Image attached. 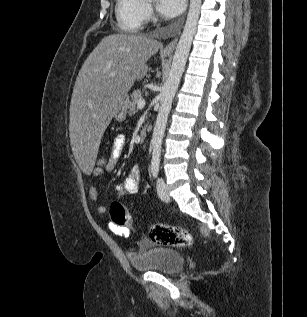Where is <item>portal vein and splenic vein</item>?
I'll return each mask as SVG.
<instances>
[{"label":"portal vein and splenic vein","instance_id":"obj_1","mask_svg":"<svg viewBox=\"0 0 307 317\" xmlns=\"http://www.w3.org/2000/svg\"><path fill=\"white\" fill-rule=\"evenodd\" d=\"M145 104H146L145 101L141 99L137 102V108L143 109L145 107Z\"/></svg>","mask_w":307,"mask_h":317}]
</instances>
